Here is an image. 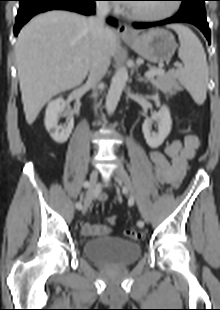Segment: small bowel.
<instances>
[{"label":"small bowel","mask_w":220,"mask_h":310,"mask_svg":"<svg viewBox=\"0 0 220 310\" xmlns=\"http://www.w3.org/2000/svg\"><path fill=\"white\" fill-rule=\"evenodd\" d=\"M199 147V139L195 134H186L182 139L169 142L163 152L150 151L148 158L154 165V177L159 184H167L178 188L183 180L188 161L191 160ZM100 201L107 199L106 194H101ZM82 232L85 236H98L108 234L110 229L106 226L84 222Z\"/></svg>","instance_id":"obj_1"}]
</instances>
